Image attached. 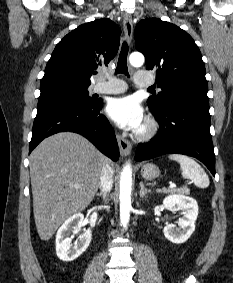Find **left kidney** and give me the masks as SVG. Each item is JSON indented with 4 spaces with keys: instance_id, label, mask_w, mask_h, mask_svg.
Masks as SVG:
<instances>
[{
    "instance_id": "obj_1",
    "label": "left kidney",
    "mask_w": 233,
    "mask_h": 283,
    "mask_svg": "<svg viewBox=\"0 0 233 283\" xmlns=\"http://www.w3.org/2000/svg\"><path fill=\"white\" fill-rule=\"evenodd\" d=\"M163 207L169 211H179L182 218L178 220V227L167 224L164 227V236L173 243H184L195 230V221L198 216L196 200L184 195H170L163 200Z\"/></svg>"
}]
</instances>
